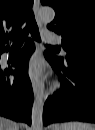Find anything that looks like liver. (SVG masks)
I'll return each instance as SVG.
<instances>
[{
  "mask_svg": "<svg viewBox=\"0 0 95 130\" xmlns=\"http://www.w3.org/2000/svg\"><path fill=\"white\" fill-rule=\"evenodd\" d=\"M0 130H19V126L16 122L5 118L1 117L0 118Z\"/></svg>",
  "mask_w": 95,
  "mask_h": 130,
  "instance_id": "1",
  "label": "liver"
}]
</instances>
